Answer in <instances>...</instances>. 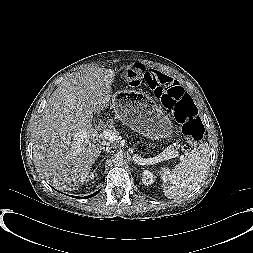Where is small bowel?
Here are the masks:
<instances>
[{"mask_svg": "<svg viewBox=\"0 0 253 253\" xmlns=\"http://www.w3.org/2000/svg\"><path fill=\"white\" fill-rule=\"evenodd\" d=\"M140 85H144L154 90H157L159 88H166L173 85L180 86V84L169 75L154 69L146 70V73L142 78Z\"/></svg>", "mask_w": 253, "mask_h": 253, "instance_id": "obj_1", "label": "small bowel"}]
</instances>
